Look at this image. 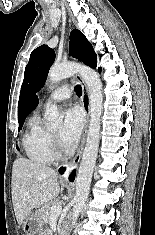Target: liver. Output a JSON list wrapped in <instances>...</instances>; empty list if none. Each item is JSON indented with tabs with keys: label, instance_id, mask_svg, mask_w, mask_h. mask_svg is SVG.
Instances as JSON below:
<instances>
[{
	"label": "liver",
	"instance_id": "obj_1",
	"mask_svg": "<svg viewBox=\"0 0 155 235\" xmlns=\"http://www.w3.org/2000/svg\"><path fill=\"white\" fill-rule=\"evenodd\" d=\"M60 192L58 174L51 168L17 158L12 169V202L19 225L34 208L43 207Z\"/></svg>",
	"mask_w": 155,
	"mask_h": 235
}]
</instances>
